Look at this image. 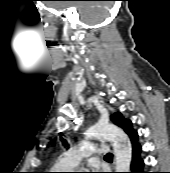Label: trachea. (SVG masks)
<instances>
[{"instance_id": "1", "label": "trachea", "mask_w": 170, "mask_h": 173, "mask_svg": "<svg viewBox=\"0 0 170 173\" xmlns=\"http://www.w3.org/2000/svg\"><path fill=\"white\" fill-rule=\"evenodd\" d=\"M112 153H108L106 156H105V158H112Z\"/></svg>"}]
</instances>
